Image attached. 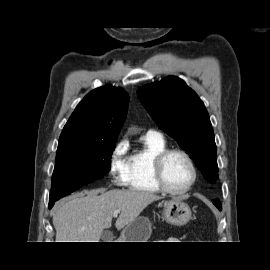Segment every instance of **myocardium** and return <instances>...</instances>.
Returning <instances> with one entry per match:
<instances>
[{
	"label": "myocardium",
	"mask_w": 270,
	"mask_h": 270,
	"mask_svg": "<svg viewBox=\"0 0 270 270\" xmlns=\"http://www.w3.org/2000/svg\"><path fill=\"white\" fill-rule=\"evenodd\" d=\"M171 154L182 155L189 163V166H190L191 171H192V179H191L190 183L182 189H173V188L169 187L165 181V178H164V173H163L164 162L167 159V157L170 156ZM152 174H153V178H154V181L157 184V186L162 191L169 193V194H173V195H182V194L189 192L194 187V185L197 181V177H198L197 167H196V164H195L193 158L191 157V155L187 151H185L181 148H166V149L162 150L161 152H159L154 157L153 162H152Z\"/></svg>",
	"instance_id": "myocardium-1"
}]
</instances>
